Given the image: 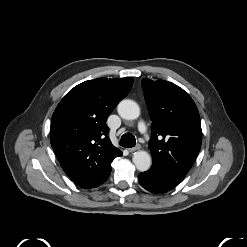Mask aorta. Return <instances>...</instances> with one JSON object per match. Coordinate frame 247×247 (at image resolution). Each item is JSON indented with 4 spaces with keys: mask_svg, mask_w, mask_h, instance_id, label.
I'll return each instance as SVG.
<instances>
[{
    "mask_svg": "<svg viewBox=\"0 0 247 247\" xmlns=\"http://www.w3.org/2000/svg\"><path fill=\"white\" fill-rule=\"evenodd\" d=\"M118 114L126 120H135L140 115V108L138 104L130 99L122 100L117 107ZM132 161L137 170L144 172L151 167V156L144 150L136 151L133 154Z\"/></svg>",
    "mask_w": 247,
    "mask_h": 247,
    "instance_id": "1",
    "label": "aorta"
}]
</instances>
